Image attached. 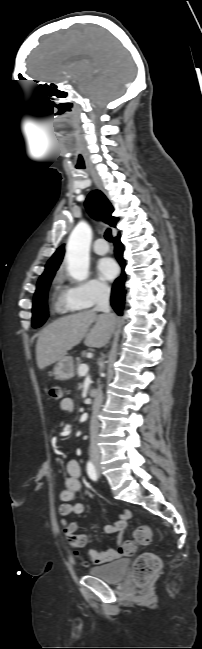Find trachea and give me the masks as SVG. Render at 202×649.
Instances as JSON below:
<instances>
[{"label":"trachea","mask_w":202,"mask_h":649,"mask_svg":"<svg viewBox=\"0 0 202 649\" xmlns=\"http://www.w3.org/2000/svg\"><path fill=\"white\" fill-rule=\"evenodd\" d=\"M104 236H105V239H106L108 242H111V241H112V234H111V230H110V229H106V231H105V235H104Z\"/></svg>","instance_id":"obj_1"}]
</instances>
